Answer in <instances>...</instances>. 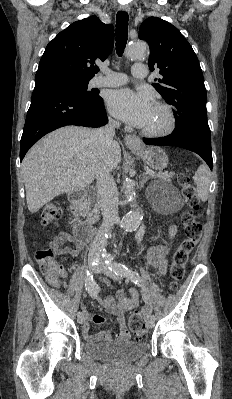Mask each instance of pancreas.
I'll list each match as a JSON object with an SVG mask.
<instances>
[{"mask_svg":"<svg viewBox=\"0 0 232 399\" xmlns=\"http://www.w3.org/2000/svg\"><path fill=\"white\" fill-rule=\"evenodd\" d=\"M150 176H152V180H155V178H161V180H171V178H173V174H169V172H154V174H150ZM99 209V198L94 196V194H90L84 205L83 215H86L88 221H97V219H99Z\"/></svg>","mask_w":232,"mask_h":399,"instance_id":"cf45deb5","label":"pancreas"}]
</instances>
